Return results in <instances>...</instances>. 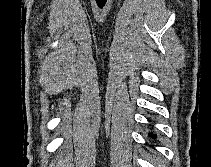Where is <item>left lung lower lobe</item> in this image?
Masks as SVG:
<instances>
[{
    "label": "left lung lower lobe",
    "instance_id": "0a47b994",
    "mask_svg": "<svg viewBox=\"0 0 211 167\" xmlns=\"http://www.w3.org/2000/svg\"><path fill=\"white\" fill-rule=\"evenodd\" d=\"M148 136H150L151 138L155 139V134H153V133L148 134Z\"/></svg>",
    "mask_w": 211,
    "mask_h": 167
}]
</instances>
